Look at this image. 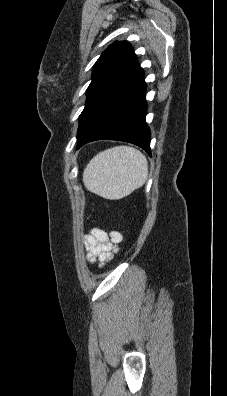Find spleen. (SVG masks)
Masks as SVG:
<instances>
[{"label":"spleen","mask_w":227,"mask_h":396,"mask_svg":"<svg viewBox=\"0 0 227 396\" xmlns=\"http://www.w3.org/2000/svg\"><path fill=\"white\" fill-rule=\"evenodd\" d=\"M148 177L146 157L137 149L116 146L98 153L83 172L87 190L105 199H121L142 187Z\"/></svg>","instance_id":"1"}]
</instances>
